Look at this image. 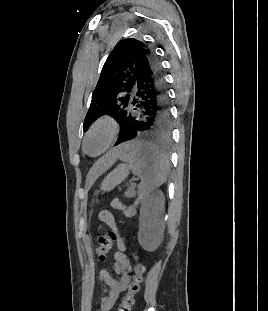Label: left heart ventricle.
<instances>
[{
    "instance_id": "left-heart-ventricle-1",
    "label": "left heart ventricle",
    "mask_w": 268,
    "mask_h": 311,
    "mask_svg": "<svg viewBox=\"0 0 268 311\" xmlns=\"http://www.w3.org/2000/svg\"><path fill=\"white\" fill-rule=\"evenodd\" d=\"M107 138V133L104 130L97 131L88 140L87 148L91 153L98 152L104 145Z\"/></svg>"
}]
</instances>
